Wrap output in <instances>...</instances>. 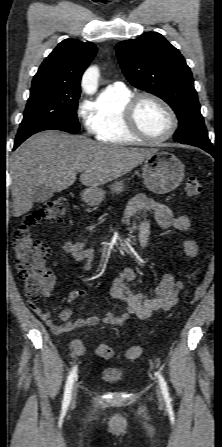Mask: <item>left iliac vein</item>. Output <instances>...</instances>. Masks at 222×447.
<instances>
[{"label":"left iliac vein","mask_w":222,"mask_h":447,"mask_svg":"<svg viewBox=\"0 0 222 447\" xmlns=\"http://www.w3.org/2000/svg\"><path fill=\"white\" fill-rule=\"evenodd\" d=\"M157 395H158V398L161 399V395H160V391L159 390H157Z\"/></svg>","instance_id":"obj_1"}]
</instances>
